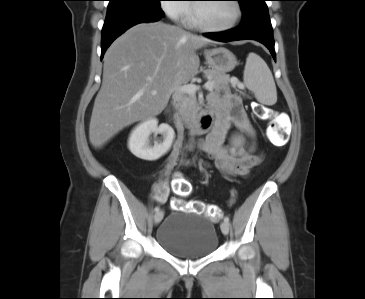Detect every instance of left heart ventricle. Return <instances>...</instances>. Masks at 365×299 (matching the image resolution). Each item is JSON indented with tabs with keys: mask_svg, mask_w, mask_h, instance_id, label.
<instances>
[{
	"mask_svg": "<svg viewBox=\"0 0 365 299\" xmlns=\"http://www.w3.org/2000/svg\"><path fill=\"white\" fill-rule=\"evenodd\" d=\"M197 9L201 21L214 27L229 25L234 20L236 14L232 1H225V3H198Z\"/></svg>",
	"mask_w": 365,
	"mask_h": 299,
	"instance_id": "obj_1",
	"label": "left heart ventricle"
}]
</instances>
